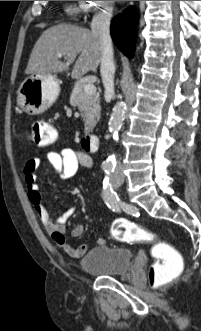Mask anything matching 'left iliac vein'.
Masks as SVG:
<instances>
[{
	"label": "left iliac vein",
	"instance_id": "1",
	"mask_svg": "<svg viewBox=\"0 0 201 331\" xmlns=\"http://www.w3.org/2000/svg\"><path fill=\"white\" fill-rule=\"evenodd\" d=\"M112 184H113V187L116 188L115 184H114V181H112Z\"/></svg>",
	"mask_w": 201,
	"mask_h": 331
}]
</instances>
